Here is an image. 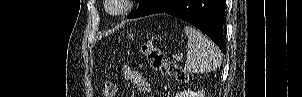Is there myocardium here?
Instances as JSON below:
<instances>
[{
	"label": "myocardium",
	"mask_w": 302,
	"mask_h": 97,
	"mask_svg": "<svg viewBox=\"0 0 302 97\" xmlns=\"http://www.w3.org/2000/svg\"><path fill=\"white\" fill-rule=\"evenodd\" d=\"M134 0H106L105 9L112 16L127 14L133 6Z\"/></svg>",
	"instance_id": "f54148a6"
}]
</instances>
